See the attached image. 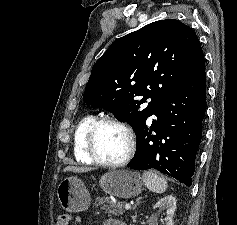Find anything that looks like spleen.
I'll return each instance as SVG.
<instances>
[{
    "label": "spleen",
    "mask_w": 237,
    "mask_h": 225,
    "mask_svg": "<svg viewBox=\"0 0 237 225\" xmlns=\"http://www.w3.org/2000/svg\"><path fill=\"white\" fill-rule=\"evenodd\" d=\"M142 178L146 187L155 193H163L167 189V181L154 171L144 172Z\"/></svg>",
    "instance_id": "3e777b00"
}]
</instances>
